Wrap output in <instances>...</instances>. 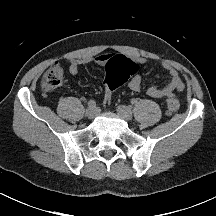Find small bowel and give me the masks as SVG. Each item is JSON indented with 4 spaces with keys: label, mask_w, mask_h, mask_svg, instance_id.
Instances as JSON below:
<instances>
[{
    "label": "small bowel",
    "mask_w": 216,
    "mask_h": 216,
    "mask_svg": "<svg viewBox=\"0 0 216 216\" xmlns=\"http://www.w3.org/2000/svg\"><path fill=\"white\" fill-rule=\"evenodd\" d=\"M119 58H125L128 59L138 65L145 64L146 59L144 57L136 56V55H121V54H113V53H105L98 55L93 58H85V59H73L67 61L68 64V70L69 73L72 75H76L79 71V68L84 64H94L97 66H107L110 62L117 60ZM161 66L163 69H165L169 76L168 83L162 87L159 88L155 85L150 86L147 89V94L153 98H164L168 97L170 95H173L175 92H181L184 89V83L179 76V73L177 70L169 63V62H162ZM128 87L132 91H140L142 87V78L139 75H135L131 78L129 81Z\"/></svg>",
    "instance_id": "1"
}]
</instances>
